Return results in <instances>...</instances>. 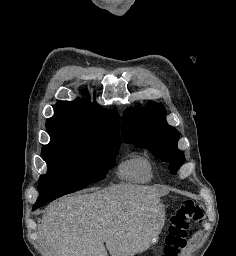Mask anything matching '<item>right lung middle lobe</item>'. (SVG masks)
Wrapping results in <instances>:
<instances>
[{
    "label": "right lung middle lobe",
    "mask_w": 236,
    "mask_h": 256,
    "mask_svg": "<svg viewBox=\"0 0 236 256\" xmlns=\"http://www.w3.org/2000/svg\"><path fill=\"white\" fill-rule=\"evenodd\" d=\"M48 133L51 141L42 148L48 172L39 179L37 202L52 201L100 181L114 164L120 147L117 141L68 131Z\"/></svg>",
    "instance_id": "1"
}]
</instances>
